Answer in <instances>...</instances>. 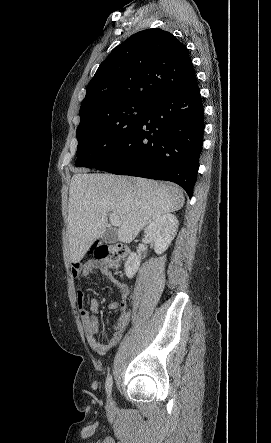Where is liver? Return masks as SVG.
I'll return each mask as SVG.
<instances>
[{
  "instance_id": "6515ba94",
  "label": "liver",
  "mask_w": 271,
  "mask_h": 443,
  "mask_svg": "<svg viewBox=\"0 0 271 443\" xmlns=\"http://www.w3.org/2000/svg\"><path fill=\"white\" fill-rule=\"evenodd\" d=\"M184 206L179 188L145 178L113 174H81L71 178L68 204V245L72 263H78L95 239L102 237L108 216L116 214L117 237L130 243L158 216Z\"/></svg>"
}]
</instances>
